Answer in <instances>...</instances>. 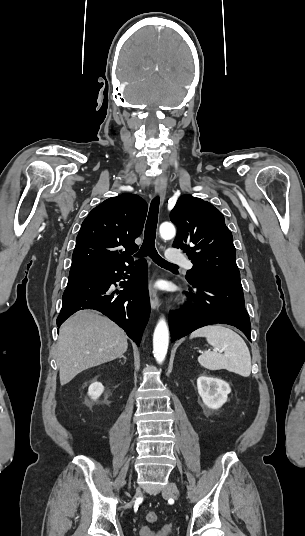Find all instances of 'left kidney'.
<instances>
[{
    "instance_id": "5707ae66",
    "label": "left kidney",
    "mask_w": 305,
    "mask_h": 536,
    "mask_svg": "<svg viewBox=\"0 0 305 536\" xmlns=\"http://www.w3.org/2000/svg\"><path fill=\"white\" fill-rule=\"evenodd\" d=\"M198 394L203 400V404L217 410L221 408L225 402H227L228 394L231 392V388L224 380L219 378H212V376H199L197 380Z\"/></svg>"
}]
</instances>
